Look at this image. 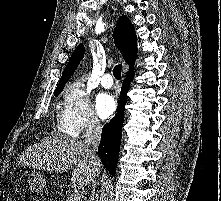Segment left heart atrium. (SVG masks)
I'll use <instances>...</instances> for the list:
<instances>
[{
	"mask_svg": "<svg viewBox=\"0 0 221 201\" xmlns=\"http://www.w3.org/2000/svg\"><path fill=\"white\" fill-rule=\"evenodd\" d=\"M97 114L106 119L110 117L117 108V102L114 96L109 93H100L95 102Z\"/></svg>",
	"mask_w": 221,
	"mask_h": 201,
	"instance_id": "obj_1",
	"label": "left heart atrium"
}]
</instances>
